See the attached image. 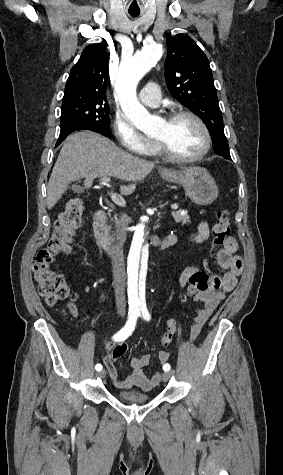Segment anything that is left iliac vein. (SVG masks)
<instances>
[{"label":"left iliac vein","mask_w":283,"mask_h":475,"mask_svg":"<svg viewBox=\"0 0 283 475\" xmlns=\"http://www.w3.org/2000/svg\"><path fill=\"white\" fill-rule=\"evenodd\" d=\"M173 375V372H164L162 374L163 381H168Z\"/></svg>","instance_id":"4c4485c4"}]
</instances>
